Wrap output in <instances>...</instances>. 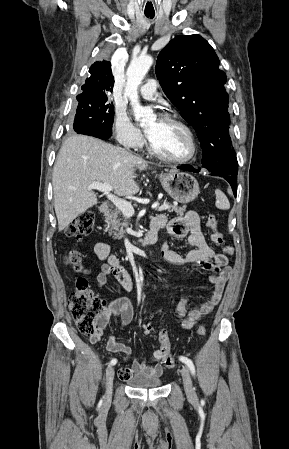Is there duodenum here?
Wrapping results in <instances>:
<instances>
[{"label": "duodenum", "instance_id": "obj_1", "mask_svg": "<svg viewBox=\"0 0 289 449\" xmlns=\"http://www.w3.org/2000/svg\"><path fill=\"white\" fill-rule=\"evenodd\" d=\"M100 212L103 215H109L110 214L109 206L103 205L100 208ZM160 228L161 227L158 224H151L149 232L140 240L139 247H145L147 245L156 243L158 239V231Z\"/></svg>", "mask_w": 289, "mask_h": 449}]
</instances>
